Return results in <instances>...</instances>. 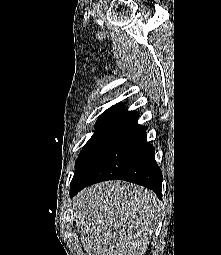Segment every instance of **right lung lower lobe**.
I'll return each instance as SVG.
<instances>
[{
	"label": "right lung lower lobe",
	"mask_w": 221,
	"mask_h": 255,
	"mask_svg": "<svg viewBox=\"0 0 221 255\" xmlns=\"http://www.w3.org/2000/svg\"><path fill=\"white\" fill-rule=\"evenodd\" d=\"M137 119L138 113L125 107L115 111L78 162L71 197L86 186L119 179L152 189L161 199L162 173Z\"/></svg>",
	"instance_id": "obj_1"
}]
</instances>
